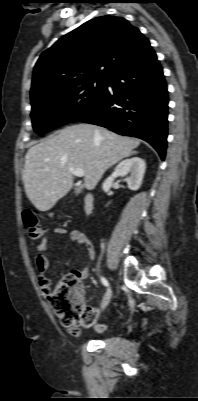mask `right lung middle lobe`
Wrapping results in <instances>:
<instances>
[{"mask_svg":"<svg viewBox=\"0 0 198 401\" xmlns=\"http://www.w3.org/2000/svg\"><path fill=\"white\" fill-rule=\"evenodd\" d=\"M106 88L107 80H89L40 94L31 101L34 130L43 135L77 121L98 103Z\"/></svg>","mask_w":198,"mask_h":401,"instance_id":"right-lung-middle-lobe-1","label":"right lung middle lobe"}]
</instances>
